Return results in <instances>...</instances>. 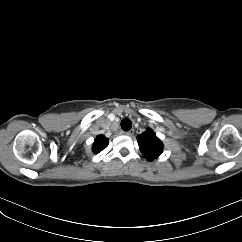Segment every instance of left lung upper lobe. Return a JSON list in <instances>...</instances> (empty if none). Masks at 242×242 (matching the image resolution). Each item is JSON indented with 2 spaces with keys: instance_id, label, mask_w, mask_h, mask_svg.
I'll return each mask as SVG.
<instances>
[{
  "instance_id": "5c2ea615",
  "label": "left lung upper lobe",
  "mask_w": 242,
  "mask_h": 242,
  "mask_svg": "<svg viewBox=\"0 0 242 242\" xmlns=\"http://www.w3.org/2000/svg\"><path fill=\"white\" fill-rule=\"evenodd\" d=\"M137 141L141 153L149 161L157 158L162 153L163 144L151 129H147L145 132L138 135Z\"/></svg>"
}]
</instances>
